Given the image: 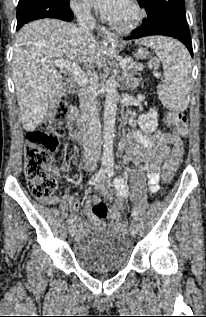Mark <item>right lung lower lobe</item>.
<instances>
[{
    "mask_svg": "<svg viewBox=\"0 0 206 317\" xmlns=\"http://www.w3.org/2000/svg\"><path fill=\"white\" fill-rule=\"evenodd\" d=\"M58 19H62L65 21H71L73 19V13L70 8L67 11H59L57 14ZM20 28H17V30Z\"/></svg>",
    "mask_w": 206,
    "mask_h": 317,
    "instance_id": "98d812e1",
    "label": "right lung lower lobe"
}]
</instances>
